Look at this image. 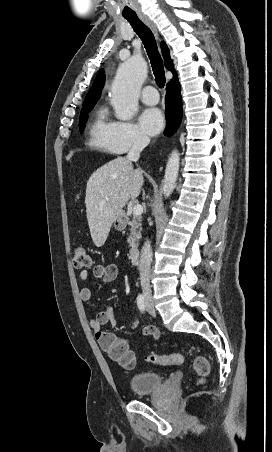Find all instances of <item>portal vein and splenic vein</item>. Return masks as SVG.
<instances>
[{
  "label": "portal vein and splenic vein",
  "instance_id": "portal-vein-and-splenic-vein-1",
  "mask_svg": "<svg viewBox=\"0 0 272 452\" xmlns=\"http://www.w3.org/2000/svg\"><path fill=\"white\" fill-rule=\"evenodd\" d=\"M143 213V207L142 205L136 204L133 207V214L134 216H140Z\"/></svg>",
  "mask_w": 272,
  "mask_h": 452
}]
</instances>
